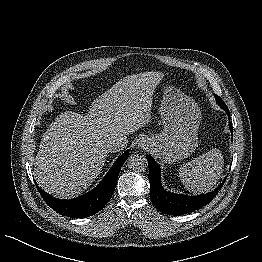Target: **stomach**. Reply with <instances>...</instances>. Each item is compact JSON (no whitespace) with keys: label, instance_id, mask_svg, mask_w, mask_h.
I'll return each instance as SVG.
<instances>
[{"label":"stomach","instance_id":"1","mask_svg":"<svg viewBox=\"0 0 262 262\" xmlns=\"http://www.w3.org/2000/svg\"><path fill=\"white\" fill-rule=\"evenodd\" d=\"M164 130L147 137L152 149L164 163H173L191 156L198 146L201 121L197 103L173 86L164 87L160 105Z\"/></svg>","mask_w":262,"mask_h":262}]
</instances>
